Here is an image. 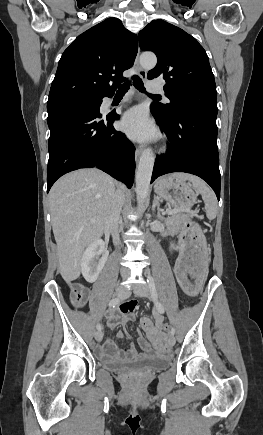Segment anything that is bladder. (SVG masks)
<instances>
[{"label":"bladder","instance_id":"bladder-1","mask_svg":"<svg viewBox=\"0 0 263 435\" xmlns=\"http://www.w3.org/2000/svg\"><path fill=\"white\" fill-rule=\"evenodd\" d=\"M168 364V357L155 355L128 361H104L102 366L110 371H123L131 368L155 371L165 368Z\"/></svg>","mask_w":263,"mask_h":435}]
</instances>
